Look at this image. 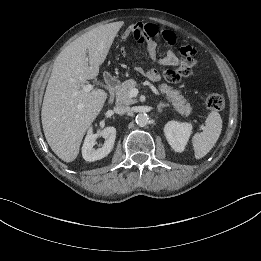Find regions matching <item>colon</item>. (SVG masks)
<instances>
[{"label":"colon","instance_id":"obj_1","mask_svg":"<svg viewBox=\"0 0 261 261\" xmlns=\"http://www.w3.org/2000/svg\"><path fill=\"white\" fill-rule=\"evenodd\" d=\"M125 29L121 32L120 37L127 41L130 38V35L135 32V27L131 20H126L124 22ZM137 32L140 35L144 36H157L160 33V28L157 25H152L149 21H143L138 25ZM166 42L169 45H174L177 42V37L174 34H169L166 37ZM164 76L167 80H173L172 73L170 71H165ZM205 106L210 111H221L225 106V101L222 96L218 94L209 95L205 100Z\"/></svg>","mask_w":261,"mask_h":261}]
</instances>
